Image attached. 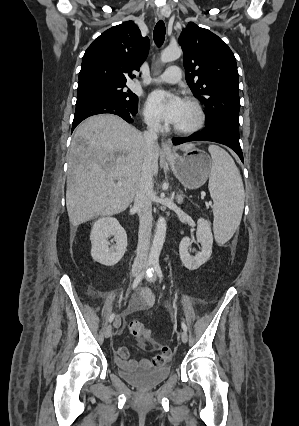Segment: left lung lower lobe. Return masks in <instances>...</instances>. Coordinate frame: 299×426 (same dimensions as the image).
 <instances>
[{"label": "left lung lower lobe", "mask_w": 299, "mask_h": 426, "mask_svg": "<svg viewBox=\"0 0 299 426\" xmlns=\"http://www.w3.org/2000/svg\"><path fill=\"white\" fill-rule=\"evenodd\" d=\"M190 141H212L221 143L234 150L243 162V154L239 143V128L229 124L206 125V127L189 137L173 138L174 145Z\"/></svg>", "instance_id": "1"}]
</instances>
